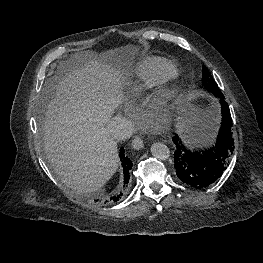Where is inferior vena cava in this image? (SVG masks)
<instances>
[{
	"instance_id": "obj_1",
	"label": "inferior vena cava",
	"mask_w": 263,
	"mask_h": 263,
	"mask_svg": "<svg viewBox=\"0 0 263 263\" xmlns=\"http://www.w3.org/2000/svg\"><path fill=\"white\" fill-rule=\"evenodd\" d=\"M106 130L114 140L124 141L131 137L134 129L127 118L118 116L109 121Z\"/></svg>"
}]
</instances>
